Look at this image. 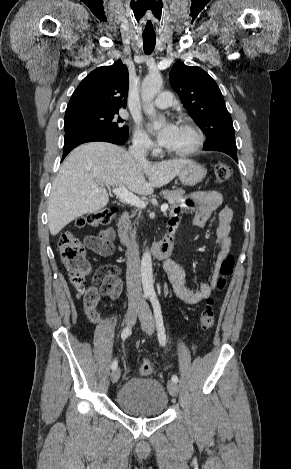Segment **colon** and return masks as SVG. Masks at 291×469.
Masks as SVG:
<instances>
[{"mask_svg": "<svg viewBox=\"0 0 291 469\" xmlns=\"http://www.w3.org/2000/svg\"><path fill=\"white\" fill-rule=\"evenodd\" d=\"M214 175L217 182L223 183L230 179L232 168L225 162H218L214 167ZM114 214L115 210L113 208L97 210L79 218L76 225L78 228L107 225ZM58 246L61 262L69 271L71 283L78 291H84V309L88 318L93 322H97L99 320L97 306L101 293L111 296L112 293L118 292L120 289V283L117 280L119 269L114 265H105L91 276V266L86 258L85 246L71 231L61 235ZM234 264L235 261L232 255H228L222 261L217 280L218 289H223L226 286L228 278L233 273ZM89 277H91V284L88 288H85V282ZM98 286H100V289ZM214 324L213 300L208 299L200 313L199 326L203 330H209ZM153 371V363L148 359H144L140 364V374L148 376Z\"/></svg>", "mask_w": 291, "mask_h": 469, "instance_id": "obj_1", "label": "colon"}]
</instances>
